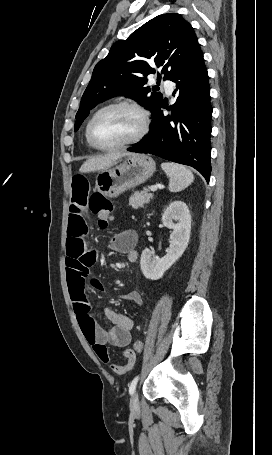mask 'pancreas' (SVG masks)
<instances>
[{
    "label": "pancreas",
    "instance_id": "1",
    "mask_svg": "<svg viewBox=\"0 0 272 455\" xmlns=\"http://www.w3.org/2000/svg\"><path fill=\"white\" fill-rule=\"evenodd\" d=\"M148 189L144 188L140 193H136L129 199V205L134 209L142 208L153 198L152 193H148Z\"/></svg>",
    "mask_w": 272,
    "mask_h": 455
}]
</instances>
